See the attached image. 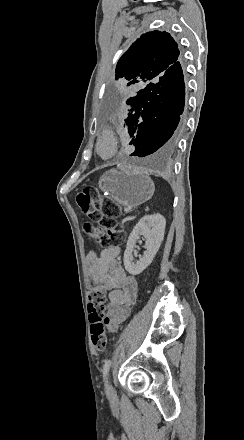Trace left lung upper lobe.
<instances>
[{"mask_svg": "<svg viewBox=\"0 0 244 440\" xmlns=\"http://www.w3.org/2000/svg\"><path fill=\"white\" fill-rule=\"evenodd\" d=\"M180 59L177 43L167 32L143 34L122 55L116 66L115 79H126L127 85H147L156 81Z\"/></svg>", "mask_w": 244, "mask_h": 440, "instance_id": "obj_1", "label": "left lung upper lobe"}]
</instances>
